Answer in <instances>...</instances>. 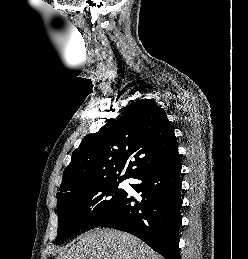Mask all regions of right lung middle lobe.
Masks as SVG:
<instances>
[{
  "instance_id": "right-lung-middle-lobe-1",
  "label": "right lung middle lobe",
  "mask_w": 248,
  "mask_h": 259,
  "mask_svg": "<svg viewBox=\"0 0 248 259\" xmlns=\"http://www.w3.org/2000/svg\"><path fill=\"white\" fill-rule=\"evenodd\" d=\"M123 180H109L73 188L58 202L59 244L78 230L93 228L109 220L126 194L118 185Z\"/></svg>"
}]
</instances>
